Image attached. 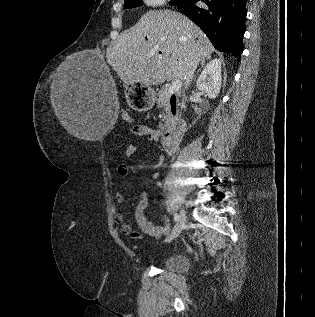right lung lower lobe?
Returning a JSON list of instances; mask_svg holds the SVG:
<instances>
[{
    "instance_id": "98d812e1",
    "label": "right lung lower lobe",
    "mask_w": 315,
    "mask_h": 317,
    "mask_svg": "<svg viewBox=\"0 0 315 317\" xmlns=\"http://www.w3.org/2000/svg\"><path fill=\"white\" fill-rule=\"evenodd\" d=\"M204 6L198 7L196 2ZM247 0H180L176 6L210 39L220 52L238 60L243 52Z\"/></svg>"
}]
</instances>
